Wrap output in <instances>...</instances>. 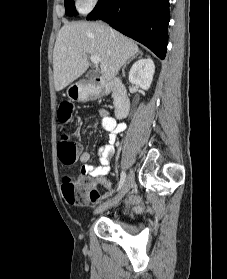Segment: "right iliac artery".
<instances>
[{
  "label": "right iliac artery",
  "mask_w": 227,
  "mask_h": 279,
  "mask_svg": "<svg viewBox=\"0 0 227 279\" xmlns=\"http://www.w3.org/2000/svg\"><path fill=\"white\" fill-rule=\"evenodd\" d=\"M125 179H126V173L124 171H122L121 172L120 183H119V186L117 188V191H119L122 188V186L124 185Z\"/></svg>",
  "instance_id": "right-iliac-artery-1"
}]
</instances>
